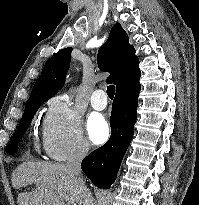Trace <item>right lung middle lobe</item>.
Returning a JSON list of instances; mask_svg holds the SVG:
<instances>
[{
    "instance_id": "obj_1",
    "label": "right lung middle lobe",
    "mask_w": 199,
    "mask_h": 205,
    "mask_svg": "<svg viewBox=\"0 0 199 205\" xmlns=\"http://www.w3.org/2000/svg\"><path fill=\"white\" fill-rule=\"evenodd\" d=\"M48 99H37L30 101L26 104L24 114L20 121V125L14 135L11 137L10 142L7 147L8 154H15L18 149V143L22 138L23 134L26 132L33 116L35 115L36 111L39 109L40 105H42Z\"/></svg>"
}]
</instances>
